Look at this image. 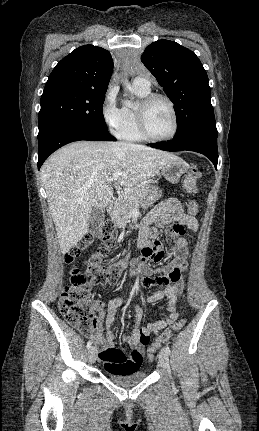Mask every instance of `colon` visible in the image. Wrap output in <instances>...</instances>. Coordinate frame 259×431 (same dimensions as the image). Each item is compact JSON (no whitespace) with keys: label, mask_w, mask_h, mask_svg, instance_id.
Instances as JSON below:
<instances>
[{"label":"colon","mask_w":259,"mask_h":431,"mask_svg":"<svg viewBox=\"0 0 259 431\" xmlns=\"http://www.w3.org/2000/svg\"><path fill=\"white\" fill-rule=\"evenodd\" d=\"M201 178V172L197 167H191L184 181V188L188 192H196V183ZM188 214L195 217L198 208L195 202H189ZM173 236H182L185 233L183 224L177 223L170 227ZM94 241H99V247L85 261V274H83L75 264L76 258ZM116 246L115 228L111 222H107L95 232L87 235L84 240L68 251L64 256V262L69 268V283L61 291L59 299V310L64 318L72 326L84 333H91L99 325V319L94 310L95 305L90 300L92 285H106L115 283L123 270L128 265V258H124L117 263L105 265L103 260ZM165 252L158 241H151L141 248L138 262L147 261L159 262L164 259ZM185 325V320L180 319L172 323L165 329L149 346L147 359L152 361L158 349L172 336L180 331ZM150 334L141 332L140 342L147 345ZM135 354V351H132ZM131 365L126 366L122 371H134Z\"/></svg>","instance_id":"colon-1"}]
</instances>
